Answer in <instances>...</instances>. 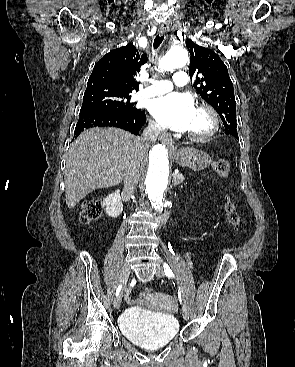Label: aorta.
<instances>
[{
	"label": "aorta",
	"instance_id": "obj_1",
	"mask_svg": "<svg viewBox=\"0 0 295 367\" xmlns=\"http://www.w3.org/2000/svg\"><path fill=\"white\" fill-rule=\"evenodd\" d=\"M189 61L187 51L182 47H175L167 51L162 57L159 67L170 71L182 68ZM170 180L169 157L166 146L162 143L152 147L145 172V187L152 206L162 212L165 207V195Z\"/></svg>",
	"mask_w": 295,
	"mask_h": 367
}]
</instances>
